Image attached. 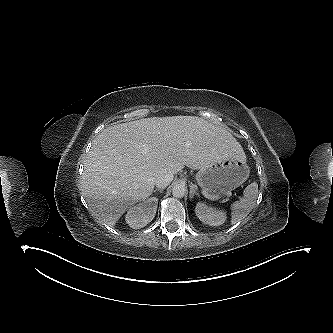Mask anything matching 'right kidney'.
<instances>
[{"label":"right kidney","mask_w":333,"mask_h":333,"mask_svg":"<svg viewBox=\"0 0 333 333\" xmlns=\"http://www.w3.org/2000/svg\"><path fill=\"white\" fill-rule=\"evenodd\" d=\"M158 198L151 197L128 209L125 216L127 224L133 229H140L151 222L156 214Z\"/></svg>","instance_id":"right-kidney-1"}]
</instances>
